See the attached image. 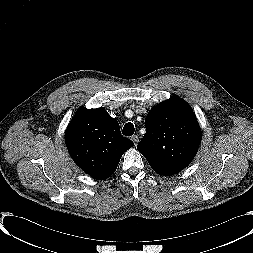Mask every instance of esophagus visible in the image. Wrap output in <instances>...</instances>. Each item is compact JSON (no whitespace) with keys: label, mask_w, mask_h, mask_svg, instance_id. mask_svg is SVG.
<instances>
[{"label":"esophagus","mask_w":253,"mask_h":253,"mask_svg":"<svg viewBox=\"0 0 253 253\" xmlns=\"http://www.w3.org/2000/svg\"><path fill=\"white\" fill-rule=\"evenodd\" d=\"M131 140L134 142V145L136 146L139 142V137L137 135H133L131 137Z\"/></svg>","instance_id":"obj_1"}]
</instances>
